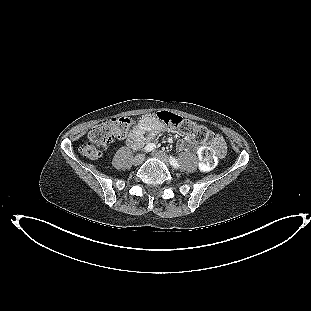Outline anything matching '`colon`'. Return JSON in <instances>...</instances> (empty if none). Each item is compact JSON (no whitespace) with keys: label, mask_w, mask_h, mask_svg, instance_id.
Listing matches in <instances>:
<instances>
[{"label":"colon","mask_w":311,"mask_h":311,"mask_svg":"<svg viewBox=\"0 0 311 311\" xmlns=\"http://www.w3.org/2000/svg\"><path fill=\"white\" fill-rule=\"evenodd\" d=\"M157 117L166 125L178 128L195 142L200 144L211 143L213 145L212 147L203 148L200 152V158L204 166L212 167L216 160L223 156L224 144L222 139L213 135L204 126L168 111L158 112ZM133 125L134 119L128 116L101 121L88 133L87 141L80 147L81 155L92 160L99 158L104 148L113 141L125 137Z\"/></svg>","instance_id":"1"}]
</instances>
